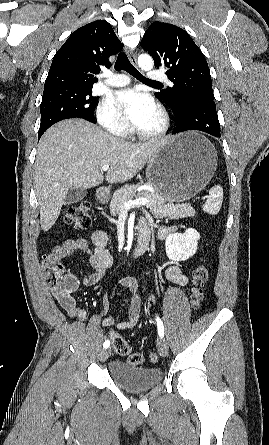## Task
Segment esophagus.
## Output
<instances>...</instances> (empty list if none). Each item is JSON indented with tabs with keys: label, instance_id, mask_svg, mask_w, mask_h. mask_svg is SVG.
I'll list each match as a JSON object with an SVG mask.
<instances>
[{
	"label": "esophagus",
	"instance_id": "esophagus-1",
	"mask_svg": "<svg viewBox=\"0 0 269 445\" xmlns=\"http://www.w3.org/2000/svg\"><path fill=\"white\" fill-rule=\"evenodd\" d=\"M128 57L130 61L135 64L136 63V55L133 50H127Z\"/></svg>",
	"mask_w": 269,
	"mask_h": 445
}]
</instances>
